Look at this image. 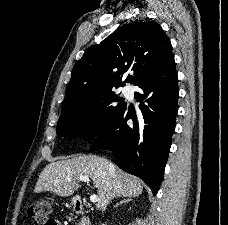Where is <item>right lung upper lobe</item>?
<instances>
[{
  "label": "right lung upper lobe",
  "mask_w": 228,
  "mask_h": 225,
  "mask_svg": "<svg viewBox=\"0 0 228 225\" xmlns=\"http://www.w3.org/2000/svg\"><path fill=\"white\" fill-rule=\"evenodd\" d=\"M171 55L170 40L158 23L148 20L126 23L100 44L89 47L74 65L62 107L123 86L125 82L136 85ZM127 70L134 73L121 82Z\"/></svg>",
  "instance_id": "obj_1"
}]
</instances>
